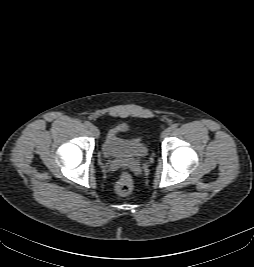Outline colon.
<instances>
[{"mask_svg": "<svg viewBox=\"0 0 254 267\" xmlns=\"http://www.w3.org/2000/svg\"><path fill=\"white\" fill-rule=\"evenodd\" d=\"M133 189V178L129 172H123L118 178L115 191L121 196L128 195Z\"/></svg>", "mask_w": 254, "mask_h": 267, "instance_id": "5ec220e1", "label": "colon"}]
</instances>
